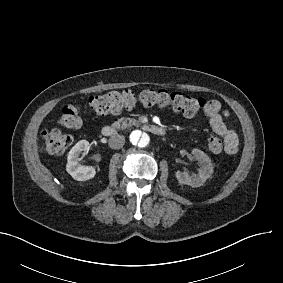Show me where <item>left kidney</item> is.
<instances>
[{
    "label": "left kidney",
    "mask_w": 283,
    "mask_h": 283,
    "mask_svg": "<svg viewBox=\"0 0 283 283\" xmlns=\"http://www.w3.org/2000/svg\"><path fill=\"white\" fill-rule=\"evenodd\" d=\"M191 154L199 162L200 169L198 174L189 175L186 171L178 170L175 175L180 184H188L192 187H199L212 175L213 164L211 163V159L208 155L199 149H193Z\"/></svg>",
    "instance_id": "left-kidney-1"
}]
</instances>
